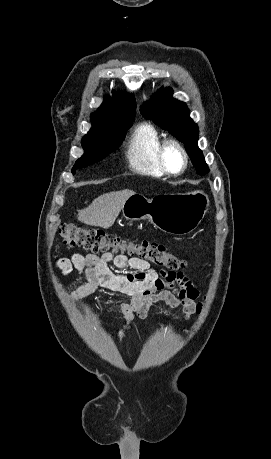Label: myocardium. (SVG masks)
<instances>
[{
	"label": "myocardium",
	"mask_w": 271,
	"mask_h": 459,
	"mask_svg": "<svg viewBox=\"0 0 271 459\" xmlns=\"http://www.w3.org/2000/svg\"><path fill=\"white\" fill-rule=\"evenodd\" d=\"M170 145L176 146L182 152V154L184 156V161H185L184 167L179 171H173L168 165L167 158H166V151H167V148ZM157 155H158V159H159V162H160L163 170L166 172V174H168L170 176H175V177L176 176H181L189 168V165H190L189 151H188L187 147L185 146V144L180 139H178L176 137H169V138L162 139V141L160 142L159 147H158Z\"/></svg>",
	"instance_id": "1"
}]
</instances>
